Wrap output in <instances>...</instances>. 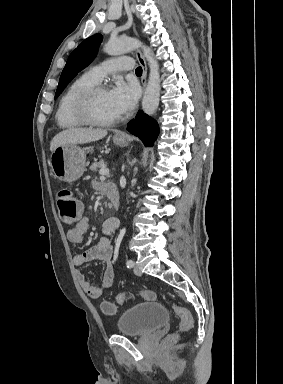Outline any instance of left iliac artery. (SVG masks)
I'll return each instance as SVG.
<instances>
[{
    "mask_svg": "<svg viewBox=\"0 0 283 384\" xmlns=\"http://www.w3.org/2000/svg\"><path fill=\"white\" fill-rule=\"evenodd\" d=\"M126 265H127L128 268L133 267V266H134V262H133V260H128V261L126 262Z\"/></svg>",
    "mask_w": 283,
    "mask_h": 384,
    "instance_id": "44dca946",
    "label": "left iliac artery"
}]
</instances>
